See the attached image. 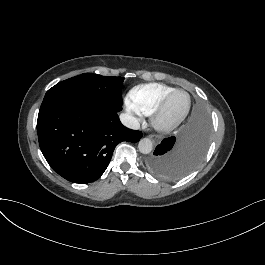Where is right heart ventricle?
Returning <instances> with one entry per match:
<instances>
[{
  "mask_svg": "<svg viewBox=\"0 0 265 265\" xmlns=\"http://www.w3.org/2000/svg\"><path fill=\"white\" fill-rule=\"evenodd\" d=\"M174 90V88L158 84L138 87L132 92V105L140 114L152 116L163 99Z\"/></svg>",
  "mask_w": 265,
  "mask_h": 265,
  "instance_id": "e07e8e85",
  "label": "right heart ventricle"
}]
</instances>
